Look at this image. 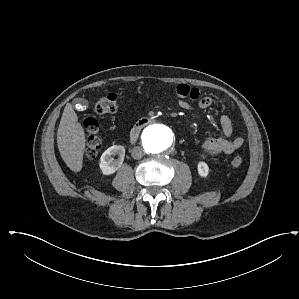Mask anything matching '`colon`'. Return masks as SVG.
<instances>
[{
    "mask_svg": "<svg viewBox=\"0 0 299 299\" xmlns=\"http://www.w3.org/2000/svg\"><path fill=\"white\" fill-rule=\"evenodd\" d=\"M117 108V96L112 93L100 97L95 104V112L99 115L114 113ZM83 126L87 133L85 155L88 158L93 159L98 155L101 148V139L98 135V122L92 117H87L83 121ZM242 163L243 160L239 156L233 158L231 162L232 166L235 168L240 167Z\"/></svg>",
    "mask_w": 299,
    "mask_h": 299,
    "instance_id": "5ec220e1",
    "label": "colon"
}]
</instances>
